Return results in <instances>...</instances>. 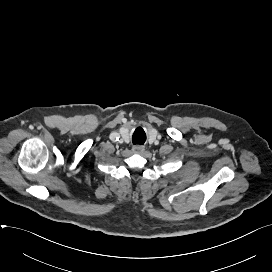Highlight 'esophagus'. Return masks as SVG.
<instances>
[{"label": "esophagus", "mask_w": 272, "mask_h": 272, "mask_svg": "<svg viewBox=\"0 0 272 272\" xmlns=\"http://www.w3.org/2000/svg\"><path fill=\"white\" fill-rule=\"evenodd\" d=\"M134 153H142L144 151V147L141 145H136L132 148Z\"/></svg>", "instance_id": "obj_1"}]
</instances>
